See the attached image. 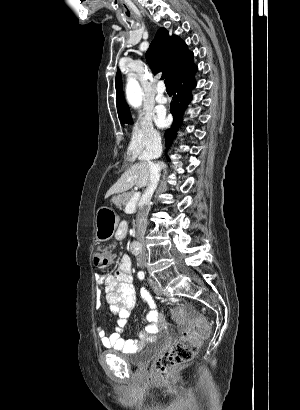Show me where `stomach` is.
<instances>
[{"instance_id":"0dacf381","label":"stomach","mask_w":300,"mask_h":410,"mask_svg":"<svg viewBox=\"0 0 300 410\" xmlns=\"http://www.w3.org/2000/svg\"><path fill=\"white\" fill-rule=\"evenodd\" d=\"M117 197H113L112 201L115 202ZM96 238L98 241H107L115 233V230L119 223V218L115 211L110 207H101L97 211L96 215Z\"/></svg>"}]
</instances>
